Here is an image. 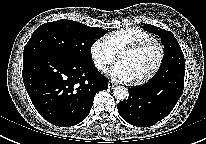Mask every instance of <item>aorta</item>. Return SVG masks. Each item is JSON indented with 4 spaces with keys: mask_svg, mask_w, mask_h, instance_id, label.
Instances as JSON below:
<instances>
[{
    "mask_svg": "<svg viewBox=\"0 0 206 144\" xmlns=\"http://www.w3.org/2000/svg\"><path fill=\"white\" fill-rule=\"evenodd\" d=\"M113 95L118 100H125L128 98V90L123 86H118L114 88Z\"/></svg>",
    "mask_w": 206,
    "mask_h": 144,
    "instance_id": "762f6f07",
    "label": "aorta"
}]
</instances>
